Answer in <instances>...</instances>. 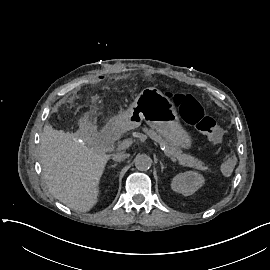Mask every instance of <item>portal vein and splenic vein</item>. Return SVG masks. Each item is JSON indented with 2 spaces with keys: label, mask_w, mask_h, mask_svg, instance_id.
<instances>
[{
  "label": "portal vein and splenic vein",
  "mask_w": 270,
  "mask_h": 270,
  "mask_svg": "<svg viewBox=\"0 0 270 270\" xmlns=\"http://www.w3.org/2000/svg\"><path fill=\"white\" fill-rule=\"evenodd\" d=\"M132 143H133V138L127 137L126 140L119 142V144L115 146V149L116 150H119V149L124 150L126 148L131 147ZM169 158H170V156H169ZM172 161L175 163H179V160H176L175 157H172Z\"/></svg>",
  "instance_id": "obj_1"
}]
</instances>
